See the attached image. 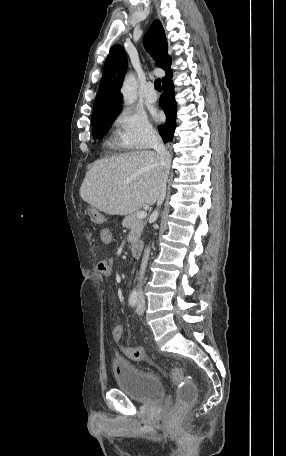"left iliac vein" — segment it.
Returning <instances> with one entry per match:
<instances>
[{
  "mask_svg": "<svg viewBox=\"0 0 286 456\" xmlns=\"http://www.w3.org/2000/svg\"><path fill=\"white\" fill-rule=\"evenodd\" d=\"M144 309H145V299L143 297H140L138 300V303H137L136 312L138 314H142L144 312Z\"/></svg>",
  "mask_w": 286,
  "mask_h": 456,
  "instance_id": "4c4485c4",
  "label": "left iliac vein"
}]
</instances>
